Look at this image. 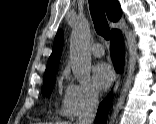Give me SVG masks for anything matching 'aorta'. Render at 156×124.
Returning a JSON list of instances; mask_svg holds the SVG:
<instances>
[{
	"mask_svg": "<svg viewBox=\"0 0 156 124\" xmlns=\"http://www.w3.org/2000/svg\"><path fill=\"white\" fill-rule=\"evenodd\" d=\"M91 31L90 25L86 20H79L74 26L70 39V62L72 72L77 80L83 84L90 80L91 73V52H90ZM129 60L127 67V76L122 88L120 97L113 108L110 124H115L119 111L123 108L126 95L131 88L136 61L138 58L136 47V35L133 31L128 34Z\"/></svg>",
	"mask_w": 156,
	"mask_h": 124,
	"instance_id": "1",
	"label": "aorta"
}]
</instances>
